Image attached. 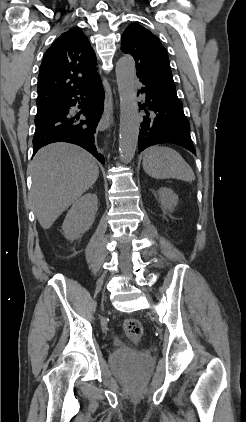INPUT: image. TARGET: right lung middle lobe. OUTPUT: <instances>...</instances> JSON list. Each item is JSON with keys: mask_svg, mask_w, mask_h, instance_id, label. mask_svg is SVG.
<instances>
[{"mask_svg": "<svg viewBox=\"0 0 246 422\" xmlns=\"http://www.w3.org/2000/svg\"><path fill=\"white\" fill-rule=\"evenodd\" d=\"M42 115H45V111H44V109L37 110V114H36L35 118L40 117V116H42Z\"/></svg>", "mask_w": 246, "mask_h": 422, "instance_id": "dd1d6c3e", "label": "right lung middle lobe"}]
</instances>
